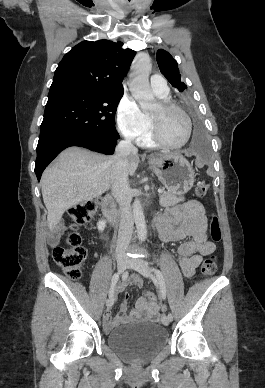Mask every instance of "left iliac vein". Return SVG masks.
I'll return each instance as SVG.
<instances>
[{
	"mask_svg": "<svg viewBox=\"0 0 265 388\" xmlns=\"http://www.w3.org/2000/svg\"><path fill=\"white\" fill-rule=\"evenodd\" d=\"M127 267L136 270L137 272L142 274L144 277L150 278L154 281V276L151 273L150 267L146 261L141 260V259L128 260ZM161 320L165 326H168L170 323V320H169L168 316H166V315H162Z\"/></svg>",
	"mask_w": 265,
	"mask_h": 388,
	"instance_id": "left-iliac-vein-1",
	"label": "left iliac vein"
}]
</instances>
